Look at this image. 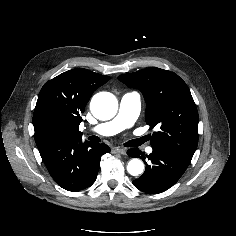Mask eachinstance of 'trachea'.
<instances>
[{"label": "trachea", "instance_id": "trachea-1", "mask_svg": "<svg viewBox=\"0 0 236 236\" xmlns=\"http://www.w3.org/2000/svg\"><path fill=\"white\" fill-rule=\"evenodd\" d=\"M96 138H97V140H99L98 137H96ZM139 144H140V140H131V141L127 142L125 145L129 146V147H134V146H137Z\"/></svg>", "mask_w": 236, "mask_h": 236}]
</instances>
